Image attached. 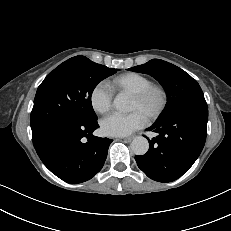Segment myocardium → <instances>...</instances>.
<instances>
[{
	"instance_id": "f54148a6",
	"label": "myocardium",
	"mask_w": 231,
	"mask_h": 231,
	"mask_svg": "<svg viewBox=\"0 0 231 231\" xmlns=\"http://www.w3.org/2000/svg\"><path fill=\"white\" fill-rule=\"evenodd\" d=\"M131 95L140 103L146 102L152 95H156L158 97V104L156 107L148 111L145 115L149 120L158 119L166 110L169 101L167 89L162 84L158 83H150L142 90Z\"/></svg>"
}]
</instances>
